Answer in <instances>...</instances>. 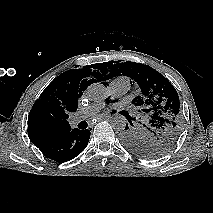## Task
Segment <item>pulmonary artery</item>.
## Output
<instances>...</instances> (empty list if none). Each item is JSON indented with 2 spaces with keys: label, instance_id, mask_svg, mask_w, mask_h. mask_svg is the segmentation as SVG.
Listing matches in <instances>:
<instances>
[{
  "label": "pulmonary artery",
  "instance_id": "e3ab8cb5",
  "mask_svg": "<svg viewBox=\"0 0 213 213\" xmlns=\"http://www.w3.org/2000/svg\"><path fill=\"white\" fill-rule=\"evenodd\" d=\"M130 87L131 83L128 78L118 77L113 79L109 83V94L112 98H117L127 93ZM103 106H104L103 102H98L80 109V111L77 114H75L74 117L72 118V122L77 123L78 121L95 114L101 108H103Z\"/></svg>",
  "mask_w": 213,
  "mask_h": 213
}]
</instances>
